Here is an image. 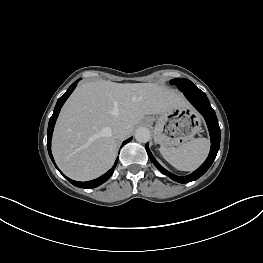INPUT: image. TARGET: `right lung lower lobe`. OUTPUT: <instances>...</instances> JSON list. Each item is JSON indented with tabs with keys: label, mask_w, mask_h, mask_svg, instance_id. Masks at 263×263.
<instances>
[{
	"label": "right lung lower lobe",
	"mask_w": 263,
	"mask_h": 263,
	"mask_svg": "<svg viewBox=\"0 0 263 263\" xmlns=\"http://www.w3.org/2000/svg\"><path fill=\"white\" fill-rule=\"evenodd\" d=\"M78 81L79 80L75 81L69 87V89L66 91V93L58 99L57 104H56L55 109H54V112H53V115L51 116L50 121H49L48 131H47V148H48L49 156H50V158H51V160H52V162L54 164H55V162H54V159H53V156H52V153H51V139H52V132H53V129H54V125H55L56 119L58 117V114H59V112L61 110V107L63 106L64 102L67 100V98L70 96V94L73 92V90L77 86ZM131 139L132 138H129V139L125 140L122 143V146H124L126 143L131 141ZM117 162H118V158L116 159V161L114 163V166L108 172H106L104 175L100 176L99 178L91 180V181L78 182V181L71 180V179H69L67 177L66 178L69 180L70 183H72L74 186H77L79 188L80 187L81 188L82 187L83 188H95V187L103 184L105 181H107L111 177V175L113 174L114 169H115V167L117 165ZM56 168H57V166H56ZM60 173H61V171H60Z\"/></svg>",
	"instance_id": "1"
}]
</instances>
